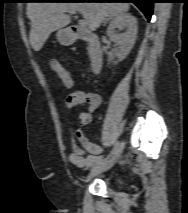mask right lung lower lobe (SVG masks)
Listing matches in <instances>:
<instances>
[{"label":"right lung lower lobe","instance_id":"obj_1","mask_svg":"<svg viewBox=\"0 0 188 213\" xmlns=\"http://www.w3.org/2000/svg\"><path fill=\"white\" fill-rule=\"evenodd\" d=\"M31 1H47V0H31ZM98 1H123V2H132L134 3L150 20L153 12V3L155 0H98Z\"/></svg>","mask_w":188,"mask_h":213}]
</instances>
